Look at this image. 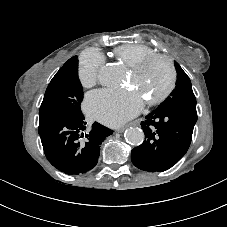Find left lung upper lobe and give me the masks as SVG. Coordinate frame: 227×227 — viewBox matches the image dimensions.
I'll use <instances>...</instances> for the list:
<instances>
[{"label": "left lung upper lobe", "mask_w": 227, "mask_h": 227, "mask_svg": "<svg viewBox=\"0 0 227 227\" xmlns=\"http://www.w3.org/2000/svg\"><path fill=\"white\" fill-rule=\"evenodd\" d=\"M175 68L177 71L176 87L157 109H168L177 106L196 110V98L192 90L191 81L177 62H175Z\"/></svg>", "instance_id": "obj_1"}]
</instances>
